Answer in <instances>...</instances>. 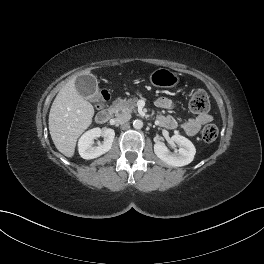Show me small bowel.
<instances>
[{
  "label": "small bowel",
  "instance_id": "small-bowel-1",
  "mask_svg": "<svg viewBox=\"0 0 264 264\" xmlns=\"http://www.w3.org/2000/svg\"><path fill=\"white\" fill-rule=\"evenodd\" d=\"M155 104L157 107L163 108V109H172L175 106L174 102L167 97L157 98L155 101ZM211 121H212V116L208 113L199 114L198 116L194 118H189L182 122H178L174 117L169 116V115L158 116V122L161 126L167 129L179 128L180 130H182L184 133H186L189 136H193L197 134L201 126Z\"/></svg>",
  "mask_w": 264,
  "mask_h": 264
}]
</instances>
